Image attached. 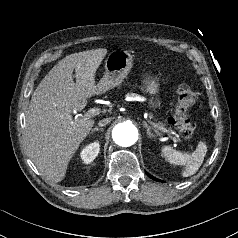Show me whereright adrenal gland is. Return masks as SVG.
I'll return each instance as SVG.
<instances>
[{"label": "right adrenal gland", "instance_id": "2a0ac1e0", "mask_svg": "<svg viewBox=\"0 0 238 238\" xmlns=\"http://www.w3.org/2000/svg\"><path fill=\"white\" fill-rule=\"evenodd\" d=\"M95 131H103V128L95 127L92 129L91 134H93Z\"/></svg>", "mask_w": 238, "mask_h": 238}]
</instances>
